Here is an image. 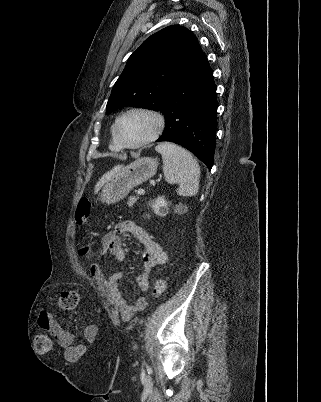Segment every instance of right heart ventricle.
I'll return each mask as SVG.
<instances>
[{
  "instance_id": "e07e8e85",
  "label": "right heart ventricle",
  "mask_w": 321,
  "mask_h": 402,
  "mask_svg": "<svg viewBox=\"0 0 321 402\" xmlns=\"http://www.w3.org/2000/svg\"><path fill=\"white\" fill-rule=\"evenodd\" d=\"M109 148L114 152H119L122 150V148L119 146V144L117 143V141L114 137L113 127L111 129V139H110V143H109Z\"/></svg>"
}]
</instances>
